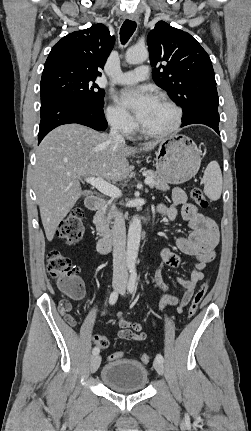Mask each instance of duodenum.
Returning <instances> with one entry per match:
<instances>
[{
  "label": "duodenum",
  "instance_id": "obj_1",
  "mask_svg": "<svg viewBox=\"0 0 251 431\" xmlns=\"http://www.w3.org/2000/svg\"><path fill=\"white\" fill-rule=\"evenodd\" d=\"M86 205L88 209L99 213L104 207L105 201L99 196H91L87 199ZM147 220L148 217H145L144 222H146ZM93 225L97 234V251L101 254L109 253L113 245V235L104 229L98 214L93 219Z\"/></svg>",
  "mask_w": 251,
  "mask_h": 431
}]
</instances>
